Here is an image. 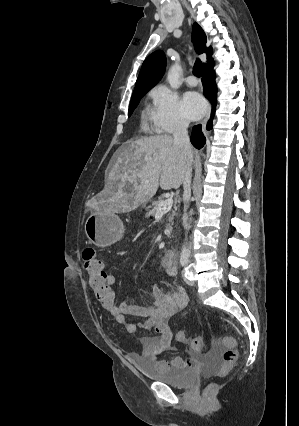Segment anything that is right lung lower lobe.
I'll return each mask as SVG.
<instances>
[{"label":"right lung lower lobe","instance_id":"obj_1","mask_svg":"<svg viewBox=\"0 0 299 426\" xmlns=\"http://www.w3.org/2000/svg\"><path fill=\"white\" fill-rule=\"evenodd\" d=\"M202 83L204 87V95L212 103V114L211 119L208 122L207 129L210 130L212 127V119L215 113L217 103V87L215 83V73L213 71V65L204 69V75L202 77ZM191 142L197 149L202 148L206 143V138L201 131V125H196L192 129Z\"/></svg>","mask_w":299,"mask_h":426}]
</instances>
